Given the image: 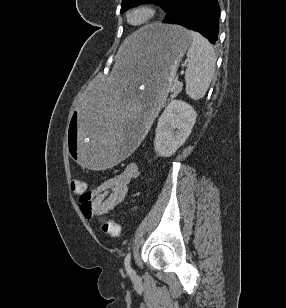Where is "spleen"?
I'll return each mask as SVG.
<instances>
[{
  "mask_svg": "<svg viewBox=\"0 0 286 308\" xmlns=\"http://www.w3.org/2000/svg\"><path fill=\"white\" fill-rule=\"evenodd\" d=\"M192 43L187 52L186 93L198 100L205 96L215 71L216 55L210 42L201 34L188 31Z\"/></svg>",
  "mask_w": 286,
  "mask_h": 308,
  "instance_id": "1",
  "label": "spleen"
}]
</instances>
